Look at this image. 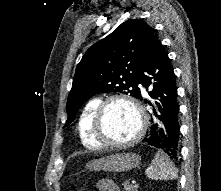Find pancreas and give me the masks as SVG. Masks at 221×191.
Here are the masks:
<instances>
[{
	"label": "pancreas",
	"mask_w": 221,
	"mask_h": 191,
	"mask_svg": "<svg viewBox=\"0 0 221 191\" xmlns=\"http://www.w3.org/2000/svg\"><path fill=\"white\" fill-rule=\"evenodd\" d=\"M122 185H123L125 191H137V188H135V187H134L132 184H130V182H128V181H124Z\"/></svg>",
	"instance_id": "cf45deb5"
}]
</instances>
